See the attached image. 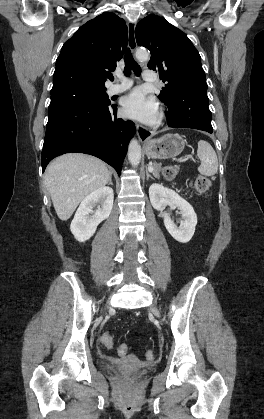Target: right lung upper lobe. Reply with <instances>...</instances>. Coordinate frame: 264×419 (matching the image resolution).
I'll return each mask as SVG.
<instances>
[{"label": "right lung upper lobe", "instance_id": "cb5924a9", "mask_svg": "<svg viewBox=\"0 0 264 419\" xmlns=\"http://www.w3.org/2000/svg\"><path fill=\"white\" fill-rule=\"evenodd\" d=\"M125 21L105 12L81 26L62 46L51 95L73 89H106L127 46Z\"/></svg>", "mask_w": 264, "mask_h": 419}]
</instances>
